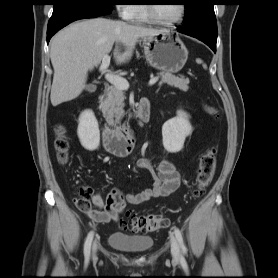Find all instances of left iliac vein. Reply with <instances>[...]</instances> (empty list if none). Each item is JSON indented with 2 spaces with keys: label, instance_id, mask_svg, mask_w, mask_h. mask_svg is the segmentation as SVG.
<instances>
[{
  "label": "left iliac vein",
  "instance_id": "left-iliac-vein-1",
  "mask_svg": "<svg viewBox=\"0 0 278 278\" xmlns=\"http://www.w3.org/2000/svg\"><path fill=\"white\" fill-rule=\"evenodd\" d=\"M170 242H171V254L173 257L174 262H179V245L177 239L171 234L170 235Z\"/></svg>",
  "mask_w": 278,
  "mask_h": 278
}]
</instances>
